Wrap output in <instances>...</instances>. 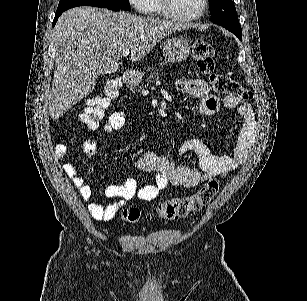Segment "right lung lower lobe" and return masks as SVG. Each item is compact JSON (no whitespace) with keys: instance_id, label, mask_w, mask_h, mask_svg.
<instances>
[{"instance_id":"98d812e1","label":"right lung lower lobe","mask_w":307,"mask_h":301,"mask_svg":"<svg viewBox=\"0 0 307 301\" xmlns=\"http://www.w3.org/2000/svg\"><path fill=\"white\" fill-rule=\"evenodd\" d=\"M107 9H110V10H113V11H119L118 9H114V8H107ZM63 13V12H62ZM62 13H57L55 18H54V21H53V27L56 23V21L58 20L59 16L62 14Z\"/></svg>"}]
</instances>
